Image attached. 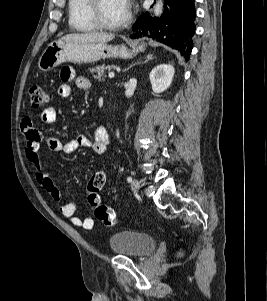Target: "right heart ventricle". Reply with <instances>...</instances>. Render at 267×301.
<instances>
[{
    "mask_svg": "<svg viewBox=\"0 0 267 301\" xmlns=\"http://www.w3.org/2000/svg\"><path fill=\"white\" fill-rule=\"evenodd\" d=\"M68 20L70 27L78 32L98 30L89 14V0H69Z\"/></svg>",
    "mask_w": 267,
    "mask_h": 301,
    "instance_id": "e07e8e85",
    "label": "right heart ventricle"
}]
</instances>
